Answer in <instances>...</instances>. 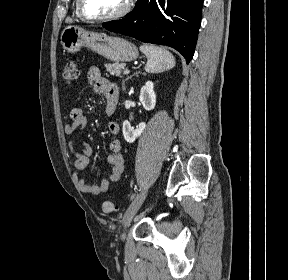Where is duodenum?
<instances>
[{"label":"duodenum","mask_w":288,"mask_h":280,"mask_svg":"<svg viewBox=\"0 0 288 280\" xmlns=\"http://www.w3.org/2000/svg\"><path fill=\"white\" fill-rule=\"evenodd\" d=\"M117 103L118 101L117 100H112L109 104V109L111 112H114L116 107H117Z\"/></svg>","instance_id":"obj_1"}]
</instances>
